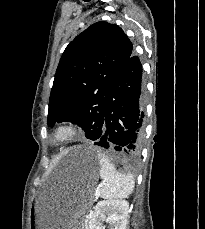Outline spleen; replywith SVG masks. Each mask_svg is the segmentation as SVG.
<instances>
[{"instance_id": "obj_1", "label": "spleen", "mask_w": 205, "mask_h": 229, "mask_svg": "<svg viewBox=\"0 0 205 229\" xmlns=\"http://www.w3.org/2000/svg\"><path fill=\"white\" fill-rule=\"evenodd\" d=\"M98 159L101 166L100 177L103 179V183L96 190V196L107 200L128 198L135 185L133 176L117 172L105 154L99 153Z\"/></svg>"}]
</instances>
